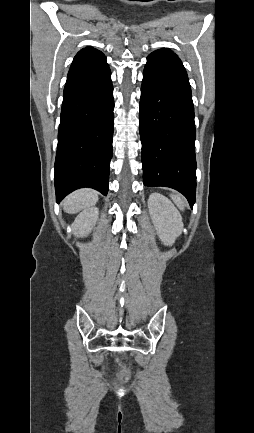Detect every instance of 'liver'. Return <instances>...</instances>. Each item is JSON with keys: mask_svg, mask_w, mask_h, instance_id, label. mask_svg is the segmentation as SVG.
<instances>
[{"mask_svg": "<svg viewBox=\"0 0 254 433\" xmlns=\"http://www.w3.org/2000/svg\"><path fill=\"white\" fill-rule=\"evenodd\" d=\"M98 201V194L92 189H80L70 194L64 200V210L67 213H77L89 209Z\"/></svg>", "mask_w": 254, "mask_h": 433, "instance_id": "1", "label": "liver"}]
</instances>
